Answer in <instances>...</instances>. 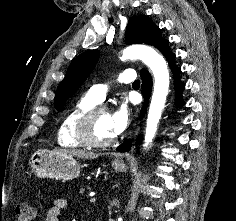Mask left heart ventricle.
Instances as JSON below:
<instances>
[{
  "label": "left heart ventricle",
  "mask_w": 236,
  "mask_h": 221,
  "mask_svg": "<svg viewBox=\"0 0 236 221\" xmlns=\"http://www.w3.org/2000/svg\"><path fill=\"white\" fill-rule=\"evenodd\" d=\"M94 134L100 140H108L115 137L111 125V114L103 111L96 119L94 126Z\"/></svg>",
  "instance_id": "1"
}]
</instances>
